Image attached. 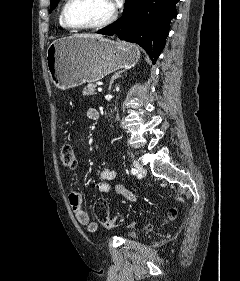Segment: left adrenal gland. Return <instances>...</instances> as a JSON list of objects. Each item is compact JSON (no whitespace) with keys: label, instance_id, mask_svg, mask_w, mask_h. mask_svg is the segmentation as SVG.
Masks as SVG:
<instances>
[{"label":"left adrenal gland","instance_id":"obj_1","mask_svg":"<svg viewBox=\"0 0 240 281\" xmlns=\"http://www.w3.org/2000/svg\"><path fill=\"white\" fill-rule=\"evenodd\" d=\"M123 72H124V70L118 71V72H116V73L112 76V78H111V80H110V84H109V90L111 89L114 80L117 79L118 77H121V74H122Z\"/></svg>","mask_w":240,"mask_h":281}]
</instances>
